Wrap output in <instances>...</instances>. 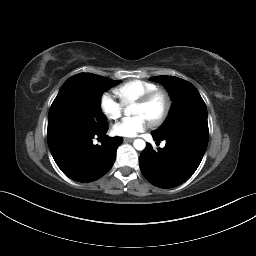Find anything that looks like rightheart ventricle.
<instances>
[{
  "label": "right heart ventricle",
  "instance_id": "e07e8e85",
  "mask_svg": "<svg viewBox=\"0 0 256 256\" xmlns=\"http://www.w3.org/2000/svg\"><path fill=\"white\" fill-rule=\"evenodd\" d=\"M155 89H158L156 84L145 80L135 79L114 88L113 92L120 99L122 105L127 106Z\"/></svg>",
  "mask_w": 256,
  "mask_h": 256
}]
</instances>
